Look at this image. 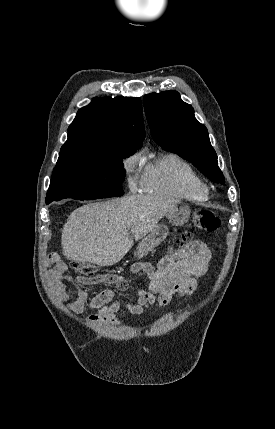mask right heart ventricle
Listing matches in <instances>:
<instances>
[{
	"label": "right heart ventricle",
	"mask_w": 275,
	"mask_h": 429,
	"mask_svg": "<svg viewBox=\"0 0 275 429\" xmlns=\"http://www.w3.org/2000/svg\"><path fill=\"white\" fill-rule=\"evenodd\" d=\"M144 191L188 201H204L207 186L199 173L175 153L159 155L147 163L143 178Z\"/></svg>",
	"instance_id": "right-heart-ventricle-1"
}]
</instances>
